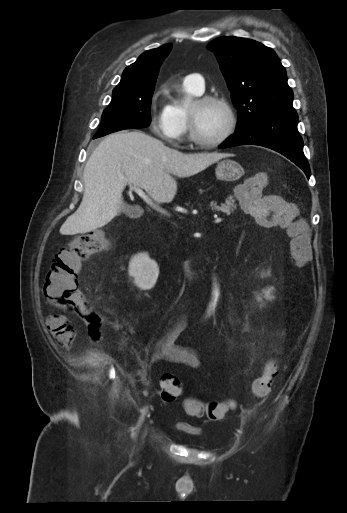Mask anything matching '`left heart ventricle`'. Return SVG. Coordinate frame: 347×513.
I'll return each mask as SVG.
<instances>
[{"label":"left heart ventricle","instance_id":"left-heart-ventricle-1","mask_svg":"<svg viewBox=\"0 0 347 513\" xmlns=\"http://www.w3.org/2000/svg\"><path fill=\"white\" fill-rule=\"evenodd\" d=\"M191 114L197 133L205 140L219 137L226 129L227 114L225 109L218 104H193Z\"/></svg>","mask_w":347,"mask_h":513}]
</instances>
